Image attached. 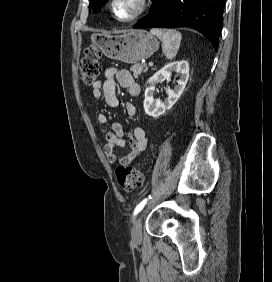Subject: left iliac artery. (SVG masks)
Wrapping results in <instances>:
<instances>
[{"instance_id": "obj_1", "label": "left iliac artery", "mask_w": 272, "mask_h": 282, "mask_svg": "<svg viewBox=\"0 0 272 282\" xmlns=\"http://www.w3.org/2000/svg\"><path fill=\"white\" fill-rule=\"evenodd\" d=\"M151 198V196H149V199ZM147 198L146 199H144L143 201H141L137 206H136V208H135V210H134V213H133V215L135 216V215H137L142 209H143V207L145 206V204L147 203Z\"/></svg>"}]
</instances>
